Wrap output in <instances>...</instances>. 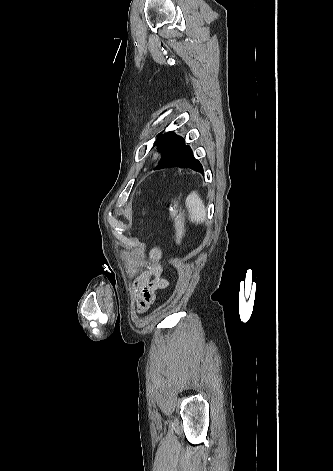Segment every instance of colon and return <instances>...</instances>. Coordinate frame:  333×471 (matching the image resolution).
I'll return each instance as SVG.
<instances>
[{
  "label": "colon",
  "instance_id": "obj_1",
  "mask_svg": "<svg viewBox=\"0 0 333 471\" xmlns=\"http://www.w3.org/2000/svg\"><path fill=\"white\" fill-rule=\"evenodd\" d=\"M169 216L174 225V241L176 246L179 247L185 232V220L183 211L176 200L170 202Z\"/></svg>",
  "mask_w": 333,
  "mask_h": 471
}]
</instances>
